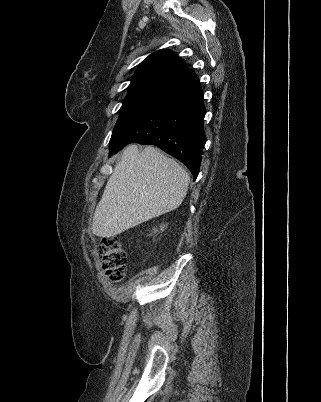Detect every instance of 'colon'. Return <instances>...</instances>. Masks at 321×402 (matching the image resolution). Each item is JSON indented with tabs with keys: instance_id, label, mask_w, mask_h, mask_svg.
Instances as JSON below:
<instances>
[{
	"instance_id": "5ec220e1",
	"label": "colon",
	"mask_w": 321,
	"mask_h": 402,
	"mask_svg": "<svg viewBox=\"0 0 321 402\" xmlns=\"http://www.w3.org/2000/svg\"><path fill=\"white\" fill-rule=\"evenodd\" d=\"M98 252L107 279L112 283L123 280L127 268V255L121 242L116 237H102L99 240Z\"/></svg>"
}]
</instances>
